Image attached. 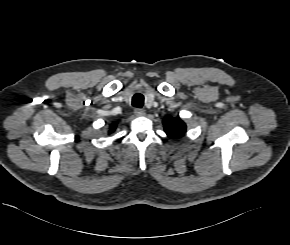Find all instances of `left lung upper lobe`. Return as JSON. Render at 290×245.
<instances>
[{
	"mask_svg": "<svg viewBox=\"0 0 290 245\" xmlns=\"http://www.w3.org/2000/svg\"><path fill=\"white\" fill-rule=\"evenodd\" d=\"M163 124L166 134L171 138H178L186 131V124L180 118L165 117Z\"/></svg>",
	"mask_w": 290,
	"mask_h": 245,
	"instance_id": "obj_1",
	"label": "left lung upper lobe"
}]
</instances>
